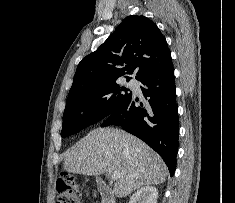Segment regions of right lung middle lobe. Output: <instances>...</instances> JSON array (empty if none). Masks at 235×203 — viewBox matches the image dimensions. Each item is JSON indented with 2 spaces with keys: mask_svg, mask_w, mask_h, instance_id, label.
Wrapping results in <instances>:
<instances>
[{
  "mask_svg": "<svg viewBox=\"0 0 235 203\" xmlns=\"http://www.w3.org/2000/svg\"><path fill=\"white\" fill-rule=\"evenodd\" d=\"M132 92L116 80L97 83L68 94L62 137L75 134L115 112Z\"/></svg>",
  "mask_w": 235,
  "mask_h": 203,
  "instance_id": "dd1d6c3e",
  "label": "right lung middle lobe"
}]
</instances>
